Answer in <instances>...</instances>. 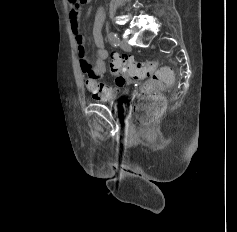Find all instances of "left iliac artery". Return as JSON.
Returning a JSON list of instances; mask_svg holds the SVG:
<instances>
[{
  "label": "left iliac artery",
  "instance_id": "left-iliac-artery-1",
  "mask_svg": "<svg viewBox=\"0 0 237 232\" xmlns=\"http://www.w3.org/2000/svg\"><path fill=\"white\" fill-rule=\"evenodd\" d=\"M108 38L112 41H118L117 35L113 32L108 33Z\"/></svg>",
  "mask_w": 237,
  "mask_h": 232
}]
</instances>
